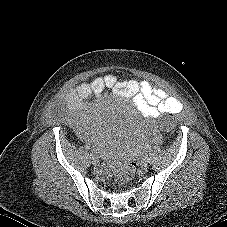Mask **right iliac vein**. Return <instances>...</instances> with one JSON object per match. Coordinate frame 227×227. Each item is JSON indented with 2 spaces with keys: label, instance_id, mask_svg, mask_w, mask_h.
Returning <instances> with one entry per match:
<instances>
[{
  "label": "right iliac vein",
  "instance_id": "obj_1",
  "mask_svg": "<svg viewBox=\"0 0 227 227\" xmlns=\"http://www.w3.org/2000/svg\"><path fill=\"white\" fill-rule=\"evenodd\" d=\"M91 161H92L93 165H97L98 164V159L95 156H93V155H91Z\"/></svg>",
  "mask_w": 227,
  "mask_h": 227
}]
</instances>
